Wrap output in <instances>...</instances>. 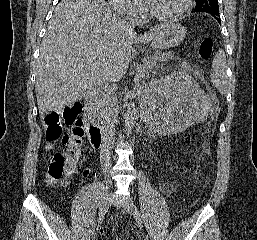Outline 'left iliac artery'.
Instances as JSON below:
<instances>
[{
    "label": "left iliac artery",
    "instance_id": "left-iliac-artery-1",
    "mask_svg": "<svg viewBox=\"0 0 257 240\" xmlns=\"http://www.w3.org/2000/svg\"><path fill=\"white\" fill-rule=\"evenodd\" d=\"M131 207H132L133 215H134L136 221L139 224H142V216H141L138 208L133 203H131Z\"/></svg>",
    "mask_w": 257,
    "mask_h": 240
}]
</instances>
